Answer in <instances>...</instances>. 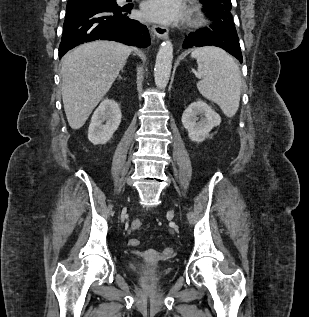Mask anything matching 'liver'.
<instances>
[{
    "instance_id": "1",
    "label": "liver",
    "mask_w": 309,
    "mask_h": 317,
    "mask_svg": "<svg viewBox=\"0 0 309 317\" xmlns=\"http://www.w3.org/2000/svg\"><path fill=\"white\" fill-rule=\"evenodd\" d=\"M132 51V47L114 41H94L78 46L62 58V99L72 129L85 124Z\"/></svg>"
}]
</instances>
